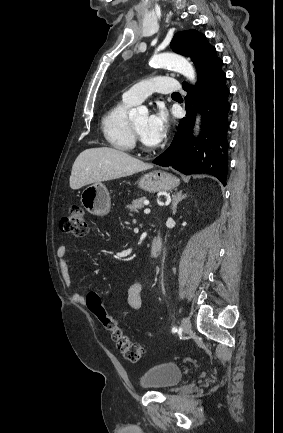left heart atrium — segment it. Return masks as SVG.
Listing matches in <instances>:
<instances>
[{"label":"left heart atrium","instance_id":"39dd6f15","mask_svg":"<svg viewBox=\"0 0 283 433\" xmlns=\"http://www.w3.org/2000/svg\"><path fill=\"white\" fill-rule=\"evenodd\" d=\"M156 111L148 117L145 130L141 134V140L148 150H156L160 146L169 128L167 117L162 109Z\"/></svg>","mask_w":283,"mask_h":433}]
</instances>
